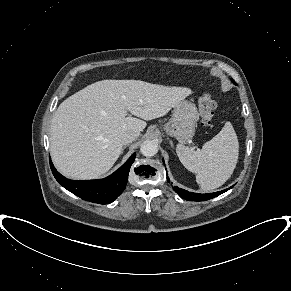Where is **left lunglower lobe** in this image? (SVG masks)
<instances>
[{
	"label": "left lung lower lobe",
	"mask_w": 291,
	"mask_h": 291,
	"mask_svg": "<svg viewBox=\"0 0 291 291\" xmlns=\"http://www.w3.org/2000/svg\"><path fill=\"white\" fill-rule=\"evenodd\" d=\"M167 181L170 182L168 176H167ZM233 187V186H232ZM232 187L219 191V192H215V193H208V194H199V193H193V192H189L186 190H183L181 188L178 187H173L174 191L183 199L188 200V201H205V200H209L212 199L214 197L219 196L220 194L226 192L227 190L231 189Z\"/></svg>",
	"instance_id": "1"
}]
</instances>
